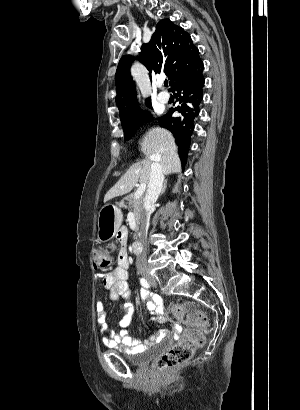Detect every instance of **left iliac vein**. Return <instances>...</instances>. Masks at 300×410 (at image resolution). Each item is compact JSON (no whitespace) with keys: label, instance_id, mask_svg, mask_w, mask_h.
Instances as JSON below:
<instances>
[{"label":"left iliac vein","instance_id":"4c4485c4","mask_svg":"<svg viewBox=\"0 0 300 410\" xmlns=\"http://www.w3.org/2000/svg\"><path fill=\"white\" fill-rule=\"evenodd\" d=\"M149 283L151 284L152 287H156V286H157V283H156L155 279H153V278H151V279L149 280Z\"/></svg>","mask_w":300,"mask_h":410}]
</instances>
